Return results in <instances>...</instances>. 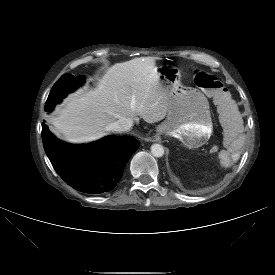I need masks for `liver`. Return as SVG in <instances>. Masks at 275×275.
I'll return each instance as SVG.
<instances>
[{
  "label": "liver",
  "mask_w": 275,
  "mask_h": 275,
  "mask_svg": "<svg viewBox=\"0 0 275 275\" xmlns=\"http://www.w3.org/2000/svg\"><path fill=\"white\" fill-rule=\"evenodd\" d=\"M167 110L155 60L134 58L110 67L95 89L70 95L49 121L67 141L88 143L101 138L123 117L155 123L165 118Z\"/></svg>",
  "instance_id": "liver-1"
}]
</instances>
